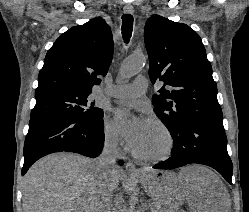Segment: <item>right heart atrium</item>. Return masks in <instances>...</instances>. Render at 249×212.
<instances>
[{
	"instance_id": "obj_1",
	"label": "right heart atrium",
	"mask_w": 249,
	"mask_h": 212,
	"mask_svg": "<svg viewBox=\"0 0 249 212\" xmlns=\"http://www.w3.org/2000/svg\"><path fill=\"white\" fill-rule=\"evenodd\" d=\"M102 134L105 146L111 150H116L118 148V137L112 125L104 120L102 127Z\"/></svg>"
}]
</instances>
